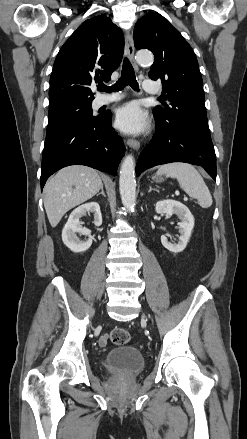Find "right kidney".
Returning <instances> with one entry per match:
<instances>
[{
    "mask_svg": "<svg viewBox=\"0 0 247 439\" xmlns=\"http://www.w3.org/2000/svg\"><path fill=\"white\" fill-rule=\"evenodd\" d=\"M90 212L94 214V225L99 227L102 224L100 206L97 202H89L72 211L62 230L63 243L73 252H84L88 250L92 244L91 231L83 228L79 221L82 216ZM77 233L88 236V239L80 240L77 237Z\"/></svg>",
    "mask_w": 247,
    "mask_h": 439,
    "instance_id": "right-kidney-1",
    "label": "right kidney"
}]
</instances>
